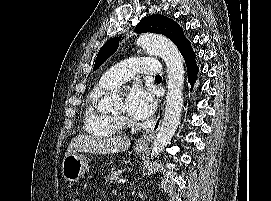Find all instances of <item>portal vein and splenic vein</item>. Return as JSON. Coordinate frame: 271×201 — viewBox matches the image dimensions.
I'll return each instance as SVG.
<instances>
[{"label":"portal vein and splenic vein","instance_id":"1","mask_svg":"<svg viewBox=\"0 0 271 201\" xmlns=\"http://www.w3.org/2000/svg\"><path fill=\"white\" fill-rule=\"evenodd\" d=\"M125 182H126L125 179H119V180L117 181V183H125Z\"/></svg>","mask_w":271,"mask_h":201}]
</instances>
